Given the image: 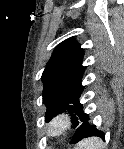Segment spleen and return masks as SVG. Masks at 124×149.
<instances>
[{"label": "spleen", "instance_id": "1", "mask_svg": "<svg viewBox=\"0 0 124 149\" xmlns=\"http://www.w3.org/2000/svg\"><path fill=\"white\" fill-rule=\"evenodd\" d=\"M90 146H93V145H92V142H91V145H90ZM92 148H93V147H92ZM92 148L90 147V149H92Z\"/></svg>", "mask_w": 124, "mask_h": 149}]
</instances>
